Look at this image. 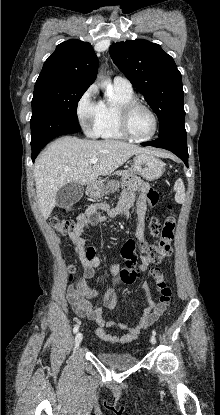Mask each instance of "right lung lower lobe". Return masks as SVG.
Wrapping results in <instances>:
<instances>
[{"mask_svg":"<svg viewBox=\"0 0 220 415\" xmlns=\"http://www.w3.org/2000/svg\"><path fill=\"white\" fill-rule=\"evenodd\" d=\"M41 148L32 150V161H35V158L37 157L38 153L40 152Z\"/></svg>","mask_w":220,"mask_h":415,"instance_id":"1","label":"right lung lower lobe"}]
</instances>
